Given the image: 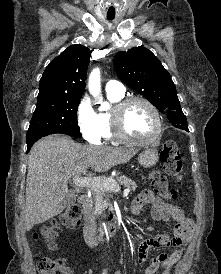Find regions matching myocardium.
Instances as JSON below:
<instances>
[{
	"mask_svg": "<svg viewBox=\"0 0 221 274\" xmlns=\"http://www.w3.org/2000/svg\"><path fill=\"white\" fill-rule=\"evenodd\" d=\"M135 102H140L146 105L151 111L155 120L154 132L152 133L150 137L142 140L133 139L127 136L122 126V119H123L125 110L131 104ZM110 117H111V127H112L113 136L116 140H118L121 143L134 145V146L150 145L158 139V137L160 136L162 132L163 123H162V118L158 108L150 100L142 96H131V97L122 99L121 101H119L113 106L110 112Z\"/></svg>",
	"mask_w": 221,
	"mask_h": 274,
	"instance_id": "f54148a6",
	"label": "myocardium"
}]
</instances>
